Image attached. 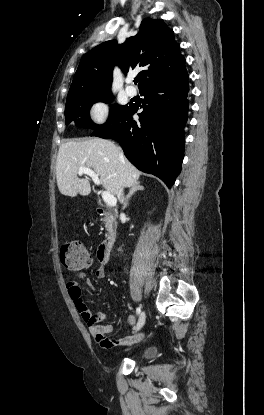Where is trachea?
<instances>
[{
  "label": "trachea",
  "mask_w": 264,
  "mask_h": 415,
  "mask_svg": "<svg viewBox=\"0 0 264 415\" xmlns=\"http://www.w3.org/2000/svg\"><path fill=\"white\" fill-rule=\"evenodd\" d=\"M134 83L137 84L138 83V78L134 79Z\"/></svg>",
  "instance_id": "1"
}]
</instances>
